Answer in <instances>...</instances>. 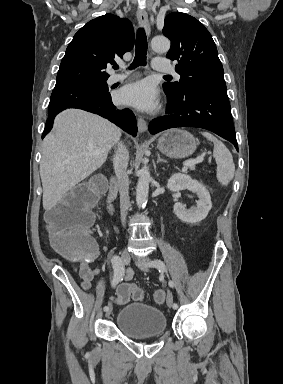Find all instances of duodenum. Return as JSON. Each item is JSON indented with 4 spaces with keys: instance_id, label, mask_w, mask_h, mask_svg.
<instances>
[{
    "instance_id": "duodenum-1",
    "label": "duodenum",
    "mask_w": 283,
    "mask_h": 384,
    "mask_svg": "<svg viewBox=\"0 0 283 384\" xmlns=\"http://www.w3.org/2000/svg\"><path fill=\"white\" fill-rule=\"evenodd\" d=\"M118 183L116 179H112L109 186V192L107 195V208L110 214L115 210V201L117 197Z\"/></svg>"
}]
</instances>
